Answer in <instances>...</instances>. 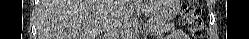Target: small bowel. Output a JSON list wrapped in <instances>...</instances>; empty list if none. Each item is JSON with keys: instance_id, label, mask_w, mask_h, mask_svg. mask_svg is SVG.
<instances>
[{"instance_id": "obj_1", "label": "small bowel", "mask_w": 249, "mask_h": 39, "mask_svg": "<svg viewBox=\"0 0 249 39\" xmlns=\"http://www.w3.org/2000/svg\"><path fill=\"white\" fill-rule=\"evenodd\" d=\"M174 37H176V38H183L184 35H183V33H181V32H175V33H174Z\"/></svg>"}]
</instances>
